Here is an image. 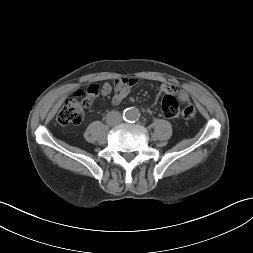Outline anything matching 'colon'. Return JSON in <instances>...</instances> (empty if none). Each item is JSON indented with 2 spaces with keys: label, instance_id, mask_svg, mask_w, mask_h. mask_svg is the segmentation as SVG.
<instances>
[{
  "label": "colon",
  "instance_id": "5ec220e1",
  "mask_svg": "<svg viewBox=\"0 0 253 253\" xmlns=\"http://www.w3.org/2000/svg\"><path fill=\"white\" fill-rule=\"evenodd\" d=\"M97 94L96 89H88L86 92L78 91L73 97L68 98L58 112V122L61 125L80 124L84 118V109L90 105ZM161 107L167 119H177L181 116L179 102L172 94L163 97Z\"/></svg>",
  "mask_w": 253,
  "mask_h": 253
}]
</instances>
